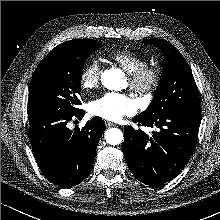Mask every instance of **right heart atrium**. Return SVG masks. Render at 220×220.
<instances>
[{"label":"right heart atrium","mask_w":220,"mask_h":220,"mask_svg":"<svg viewBox=\"0 0 220 220\" xmlns=\"http://www.w3.org/2000/svg\"><path fill=\"white\" fill-rule=\"evenodd\" d=\"M101 64L92 59L83 68L80 74V86L84 91L95 89L100 81Z\"/></svg>","instance_id":"1"}]
</instances>
